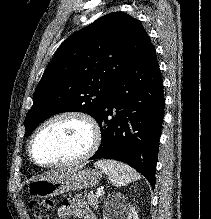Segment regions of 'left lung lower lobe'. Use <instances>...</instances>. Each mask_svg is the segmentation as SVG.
Returning <instances> with one entry per match:
<instances>
[{"label":"left lung lower lobe","mask_w":211,"mask_h":219,"mask_svg":"<svg viewBox=\"0 0 211 219\" xmlns=\"http://www.w3.org/2000/svg\"><path fill=\"white\" fill-rule=\"evenodd\" d=\"M164 104L156 51L148 39L104 99L96 118L102 141L90 159L127 163L144 175L154 189Z\"/></svg>","instance_id":"1"}]
</instances>
